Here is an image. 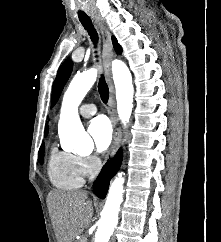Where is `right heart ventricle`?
<instances>
[{
  "instance_id": "e07e8e85",
  "label": "right heart ventricle",
  "mask_w": 221,
  "mask_h": 242,
  "mask_svg": "<svg viewBox=\"0 0 221 242\" xmlns=\"http://www.w3.org/2000/svg\"><path fill=\"white\" fill-rule=\"evenodd\" d=\"M47 174L52 185L58 189H75L83 183V177L78 166V156L60 151L55 146L50 149Z\"/></svg>"
}]
</instances>
